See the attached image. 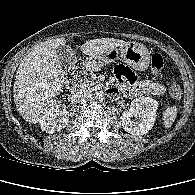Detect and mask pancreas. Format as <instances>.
<instances>
[{"mask_svg": "<svg viewBox=\"0 0 195 195\" xmlns=\"http://www.w3.org/2000/svg\"><path fill=\"white\" fill-rule=\"evenodd\" d=\"M82 86L89 88L90 90H97L102 87V84L96 79V77L92 76L90 78L83 79Z\"/></svg>", "mask_w": 195, "mask_h": 195, "instance_id": "pancreas-1", "label": "pancreas"}]
</instances>
